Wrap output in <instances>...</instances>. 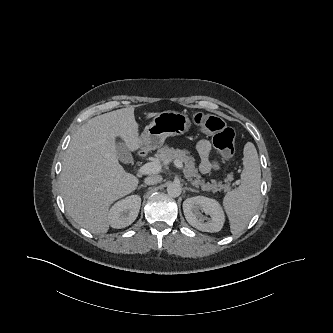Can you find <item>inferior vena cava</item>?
I'll use <instances>...</instances> for the list:
<instances>
[{
	"label": "inferior vena cava",
	"instance_id": "1",
	"mask_svg": "<svg viewBox=\"0 0 333 333\" xmlns=\"http://www.w3.org/2000/svg\"><path fill=\"white\" fill-rule=\"evenodd\" d=\"M161 181H162V176H160V175L148 176L144 180L145 184H147V185H154V184L160 183Z\"/></svg>",
	"mask_w": 333,
	"mask_h": 333
}]
</instances>
